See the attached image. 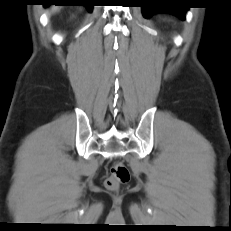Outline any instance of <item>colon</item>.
I'll return each instance as SVG.
<instances>
[{
  "label": "colon",
  "instance_id": "5ec220e1",
  "mask_svg": "<svg viewBox=\"0 0 231 231\" xmlns=\"http://www.w3.org/2000/svg\"><path fill=\"white\" fill-rule=\"evenodd\" d=\"M130 173L127 167L117 162L111 167L110 175L105 180V186L109 190H117L122 184L129 181Z\"/></svg>",
  "mask_w": 231,
  "mask_h": 231
}]
</instances>
